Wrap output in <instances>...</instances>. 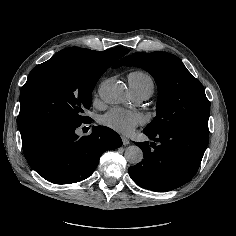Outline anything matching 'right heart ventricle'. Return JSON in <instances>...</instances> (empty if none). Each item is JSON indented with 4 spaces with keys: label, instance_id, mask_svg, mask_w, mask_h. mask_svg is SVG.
I'll list each match as a JSON object with an SVG mask.
<instances>
[{
    "label": "right heart ventricle",
    "instance_id": "obj_1",
    "mask_svg": "<svg viewBox=\"0 0 236 236\" xmlns=\"http://www.w3.org/2000/svg\"><path fill=\"white\" fill-rule=\"evenodd\" d=\"M132 93L145 94L148 98L153 94L155 85L152 77L144 71H134L128 75Z\"/></svg>",
    "mask_w": 236,
    "mask_h": 236
}]
</instances>
